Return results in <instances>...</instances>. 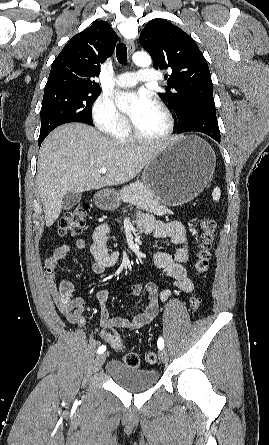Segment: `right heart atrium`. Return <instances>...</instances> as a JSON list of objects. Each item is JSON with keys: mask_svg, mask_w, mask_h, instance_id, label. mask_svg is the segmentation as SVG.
Returning a JSON list of instances; mask_svg holds the SVG:
<instances>
[{"mask_svg": "<svg viewBox=\"0 0 269 445\" xmlns=\"http://www.w3.org/2000/svg\"><path fill=\"white\" fill-rule=\"evenodd\" d=\"M91 115L94 125L105 134L114 136L128 129L127 118L110 96H99L92 105Z\"/></svg>", "mask_w": 269, "mask_h": 445, "instance_id": "d8ad5b80", "label": "right heart atrium"}]
</instances>
